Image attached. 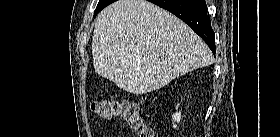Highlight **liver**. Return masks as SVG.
<instances>
[{
	"instance_id": "obj_1",
	"label": "liver",
	"mask_w": 280,
	"mask_h": 137,
	"mask_svg": "<svg viewBox=\"0 0 280 137\" xmlns=\"http://www.w3.org/2000/svg\"><path fill=\"white\" fill-rule=\"evenodd\" d=\"M92 55L98 75L137 95L213 62L188 25L146 0H119L98 15Z\"/></svg>"
}]
</instances>
